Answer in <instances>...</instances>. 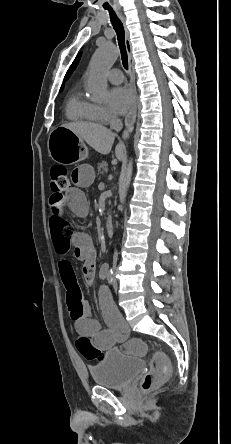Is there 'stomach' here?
Wrapping results in <instances>:
<instances>
[{
    "instance_id": "1",
    "label": "stomach",
    "mask_w": 231,
    "mask_h": 444,
    "mask_svg": "<svg viewBox=\"0 0 231 444\" xmlns=\"http://www.w3.org/2000/svg\"><path fill=\"white\" fill-rule=\"evenodd\" d=\"M48 151L55 162L62 164H74L88 156V149L83 140L62 126L50 133Z\"/></svg>"
}]
</instances>
